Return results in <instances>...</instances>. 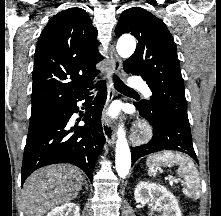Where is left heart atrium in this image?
<instances>
[{"label": "left heart atrium", "mask_w": 221, "mask_h": 216, "mask_svg": "<svg viewBox=\"0 0 221 216\" xmlns=\"http://www.w3.org/2000/svg\"><path fill=\"white\" fill-rule=\"evenodd\" d=\"M114 115H115V111L112 110V111L109 112V115H108V116H109V117H113ZM106 116H107V115H106ZM107 118H108V117H107Z\"/></svg>", "instance_id": "1"}]
</instances>
